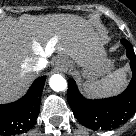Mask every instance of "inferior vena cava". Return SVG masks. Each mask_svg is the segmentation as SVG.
<instances>
[{"label": "inferior vena cava", "mask_w": 136, "mask_h": 136, "mask_svg": "<svg viewBox=\"0 0 136 136\" xmlns=\"http://www.w3.org/2000/svg\"><path fill=\"white\" fill-rule=\"evenodd\" d=\"M47 65V60L45 58H39L38 61L35 62L33 65V70L34 71H39L45 68Z\"/></svg>", "instance_id": "inferior-vena-cava-1"}]
</instances>
